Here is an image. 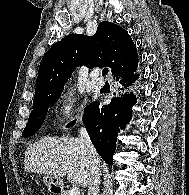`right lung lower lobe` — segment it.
<instances>
[{
	"label": "right lung lower lobe",
	"mask_w": 189,
	"mask_h": 195,
	"mask_svg": "<svg viewBox=\"0 0 189 195\" xmlns=\"http://www.w3.org/2000/svg\"><path fill=\"white\" fill-rule=\"evenodd\" d=\"M136 69L117 78L121 92L112 98L109 105H100V102L95 101L84 111L83 123L90 139L101 158L109 165L113 164L117 135L129 123L132 106L136 103L135 95L127 91L139 78V74L135 73ZM74 123L75 121H72L66 127H71Z\"/></svg>",
	"instance_id": "1"
}]
</instances>
